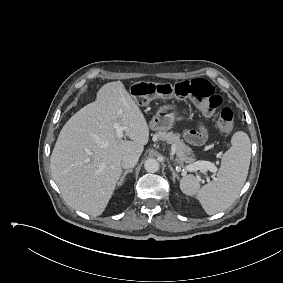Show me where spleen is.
<instances>
[{
	"mask_svg": "<svg viewBox=\"0 0 283 283\" xmlns=\"http://www.w3.org/2000/svg\"><path fill=\"white\" fill-rule=\"evenodd\" d=\"M232 146L222 156L217 178L200 188L194 175L180 180V189L187 195H196L208 215L227 209L238 197L248 175L251 159V143L243 131L236 132Z\"/></svg>",
	"mask_w": 283,
	"mask_h": 283,
	"instance_id": "spleen-1",
	"label": "spleen"
}]
</instances>
